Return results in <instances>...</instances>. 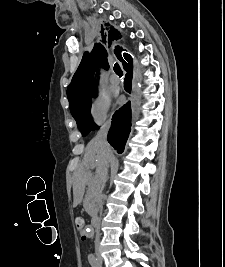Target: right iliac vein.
Returning <instances> with one entry per match:
<instances>
[{
  "instance_id": "right-iliac-vein-1",
  "label": "right iliac vein",
  "mask_w": 225,
  "mask_h": 267,
  "mask_svg": "<svg viewBox=\"0 0 225 267\" xmlns=\"http://www.w3.org/2000/svg\"><path fill=\"white\" fill-rule=\"evenodd\" d=\"M97 259L100 264L103 263V258L101 257L100 252L97 253Z\"/></svg>"
}]
</instances>
